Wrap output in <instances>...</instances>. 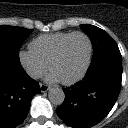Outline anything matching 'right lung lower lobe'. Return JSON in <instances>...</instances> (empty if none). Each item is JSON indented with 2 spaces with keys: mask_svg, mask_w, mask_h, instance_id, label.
<instances>
[{
  "mask_svg": "<svg viewBox=\"0 0 128 128\" xmlns=\"http://www.w3.org/2000/svg\"><path fill=\"white\" fill-rule=\"evenodd\" d=\"M40 92L38 82L21 66L0 60V128H14L26 118L31 99Z\"/></svg>",
  "mask_w": 128,
  "mask_h": 128,
  "instance_id": "1",
  "label": "right lung lower lobe"
}]
</instances>
